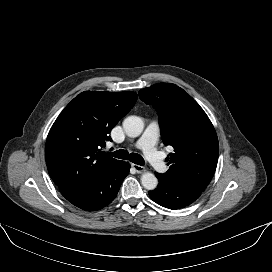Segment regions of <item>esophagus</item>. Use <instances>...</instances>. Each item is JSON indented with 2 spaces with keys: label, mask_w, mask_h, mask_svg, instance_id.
<instances>
[{
  "label": "esophagus",
  "mask_w": 272,
  "mask_h": 272,
  "mask_svg": "<svg viewBox=\"0 0 272 272\" xmlns=\"http://www.w3.org/2000/svg\"><path fill=\"white\" fill-rule=\"evenodd\" d=\"M132 167L135 169L137 173H142L145 171V167L137 164H132Z\"/></svg>",
  "instance_id": "34e87169"
}]
</instances>
